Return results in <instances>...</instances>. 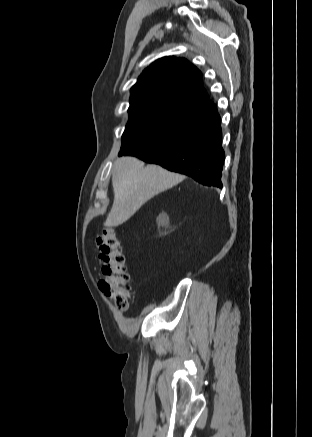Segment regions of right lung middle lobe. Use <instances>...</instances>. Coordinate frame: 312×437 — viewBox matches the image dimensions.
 <instances>
[{
    "mask_svg": "<svg viewBox=\"0 0 312 437\" xmlns=\"http://www.w3.org/2000/svg\"><path fill=\"white\" fill-rule=\"evenodd\" d=\"M129 124L122 136L119 156L156 145L188 127L198 116L196 112L164 104L130 107Z\"/></svg>",
    "mask_w": 312,
    "mask_h": 437,
    "instance_id": "obj_1",
    "label": "right lung middle lobe"
}]
</instances>
